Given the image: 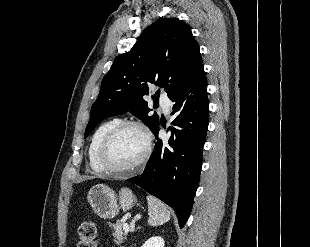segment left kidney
I'll use <instances>...</instances> for the list:
<instances>
[{
	"label": "left kidney",
	"mask_w": 310,
	"mask_h": 247,
	"mask_svg": "<svg viewBox=\"0 0 310 247\" xmlns=\"http://www.w3.org/2000/svg\"><path fill=\"white\" fill-rule=\"evenodd\" d=\"M164 239L160 236H154L148 239L142 247H164Z\"/></svg>",
	"instance_id": "obj_1"
}]
</instances>
